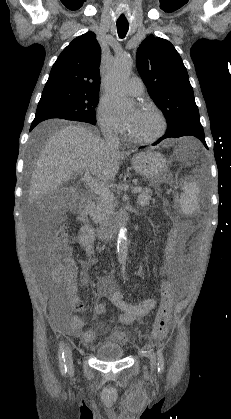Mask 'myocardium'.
Segmentation results:
<instances>
[{"instance_id":"obj_1","label":"myocardium","mask_w":231,"mask_h":419,"mask_svg":"<svg viewBox=\"0 0 231 419\" xmlns=\"http://www.w3.org/2000/svg\"><path fill=\"white\" fill-rule=\"evenodd\" d=\"M141 109L150 110L157 115V117L159 119V122H160V127H159L158 132L155 133L154 135L148 137V138H140V137H136V136L132 135L131 132L129 131V128H128L127 136L134 143L142 144V145L151 144V143L157 141L165 133V131H166V119H165V116L162 113V111L153 104H149V103L142 104Z\"/></svg>"}]
</instances>
